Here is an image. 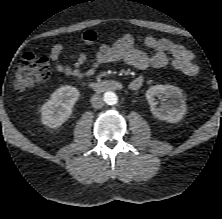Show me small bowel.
Listing matches in <instances>:
<instances>
[{
    "label": "small bowel",
    "mask_w": 222,
    "mask_h": 219,
    "mask_svg": "<svg viewBox=\"0 0 222 219\" xmlns=\"http://www.w3.org/2000/svg\"><path fill=\"white\" fill-rule=\"evenodd\" d=\"M97 39L98 36L94 31H86L82 36L83 42L87 45L94 44ZM143 44L151 51L150 54L136 48L135 39L132 35H122L109 44H102L95 52L89 67L86 69L83 66L87 61V57L83 53L75 54L71 65L62 63L60 58L64 51V46L60 43L52 46L49 58L58 72L76 79L89 77L100 66L113 62H123L140 70L158 69L171 65L187 76L198 75L199 66L195 61V56L184 46L169 39L154 36H146ZM133 81L142 83L143 78L136 77Z\"/></svg>",
    "instance_id": "obj_1"
}]
</instances>
